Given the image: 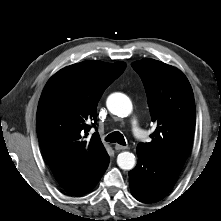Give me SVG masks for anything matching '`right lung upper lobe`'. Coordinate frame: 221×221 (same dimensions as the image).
I'll use <instances>...</instances> for the list:
<instances>
[{"label":"right lung upper lobe","mask_w":221,"mask_h":221,"mask_svg":"<svg viewBox=\"0 0 221 221\" xmlns=\"http://www.w3.org/2000/svg\"><path fill=\"white\" fill-rule=\"evenodd\" d=\"M125 68L123 62H81L58 71L44 87L37 109V135L55 178L65 190L88 182L109 161L99 134L89 140L86 136L89 123L97 120L102 93Z\"/></svg>","instance_id":"1"}]
</instances>
